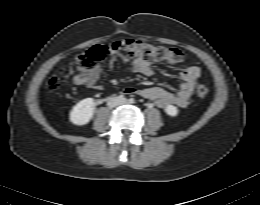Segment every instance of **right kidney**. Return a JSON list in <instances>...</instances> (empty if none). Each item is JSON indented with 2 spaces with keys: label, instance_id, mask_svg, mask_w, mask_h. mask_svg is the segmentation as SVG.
<instances>
[{
  "label": "right kidney",
  "instance_id": "ca27d5eb",
  "mask_svg": "<svg viewBox=\"0 0 260 205\" xmlns=\"http://www.w3.org/2000/svg\"><path fill=\"white\" fill-rule=\"evenodd\" d=\"M95 113V102L93 98H86L78 102L70 112V121L74 125L87 124Z\"/></svg>",
  "mask_w": 260,
  "mask_h": 205
}]
</instances>
